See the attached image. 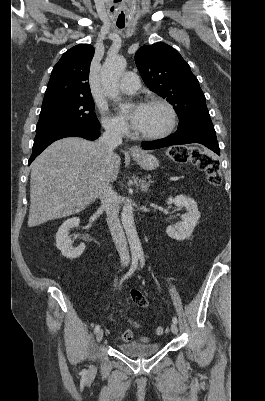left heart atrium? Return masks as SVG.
<instances>
[{"label": "left heart atrium", "mask_w": 265, "mask_h": 401, "mask_svg": "<svg viewBox=\"0 0 265 401\" xmlns=\"http://www.w3.org/2000/svg\"><path fill=\"white\" fill-rule=\"evenodd\" d=\"M147 105L138 104L131 108L128 104L122 103L118 106V114L123 118H129L135 127L141 125L143 118L145 116Z\"/></svg>", "instance_id": "39dd6f15"}]
</instances>
